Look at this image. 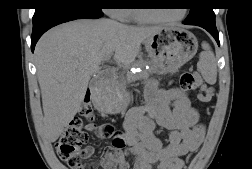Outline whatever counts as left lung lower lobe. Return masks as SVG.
I'll list each match as a JSON object with an SVG mask.
<instances>
[{
  "mask_svg": "<svg viewBox=\"0 0 252 169\" xmlns=\"http://www.w3.org/2000/svg\"><path fill=\"white\" fill-rule=\"evenodd\" d=\"M197 26H200V27L206 29L214 37V39L217 41L218 45H220V43H219V34H218L217 29H216V25L212 26V25L199 24Z\"/></svg>",
  "mask_w": 252,
  "mask_h": 169,
  "instance_id": "1",
  "label": "left lung lower lobe"
}]
</instances>
